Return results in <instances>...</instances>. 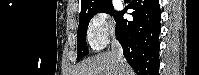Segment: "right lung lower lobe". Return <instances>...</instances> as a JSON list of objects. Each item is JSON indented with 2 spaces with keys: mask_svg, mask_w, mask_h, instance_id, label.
<instances>
[{
  "mask_svg": "<svg viewBox=\"0 0 199 75\" xmlns=\"http://www.w3.org/2000/svg\"><path fill=\"white\" fill-rule=\"evenodd\" d=\"M135 11L133 21L123 19L126 10L116 21V38L123 54L137 75H158L161 11L158 0H132L128 5Z\"/></svg>",
  "mask_w": 199,
  "mask_h": 75,
  "instance_id": "1",
  "label": "right lung lower lobe"
}]
</instances>
